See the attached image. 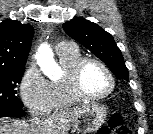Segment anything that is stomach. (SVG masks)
Instances as JSON below:
<instances>
[{"instance_id":"obj_1","label":"stomach","mask_w":153,"mask_h":134,"mask_svg":"<svg viewBox=\"0 0 153 134\" xmlns=\"http://www.w3.org/2000/svg\"><path fill=\"white\" fill-rule=\"evenodd\" d=\"M106 117L107 110L104 105L92 104L82 110L74 119L72 126L77 134H90L102 126Z\"/></svg>"}]
</instances>
